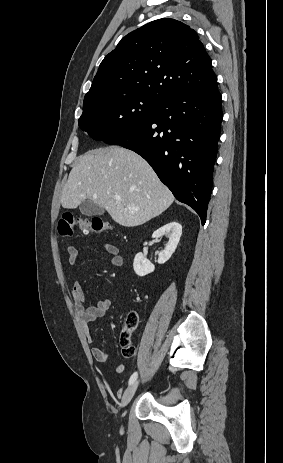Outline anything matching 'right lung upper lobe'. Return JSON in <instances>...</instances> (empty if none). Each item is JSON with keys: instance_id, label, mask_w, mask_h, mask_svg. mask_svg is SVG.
Listing matches in <instances>:
<instances>
[{"instance_id": "obj_1", "label": "right lung upper lobe", "mask_w": 283, "mask_h": 463, "mask_svg": "<svg viewBox=\"0 0 283 463\" xmlns=\"http://www.w3.org/2000/svg\"><path fill=\"white\" fill-rule=\"evenodd\" d=\"M216 80L196 32L175 19H158L126 35L106 55L83 104L129 94L159 102Z\"/></svg>"}]
</instances>
